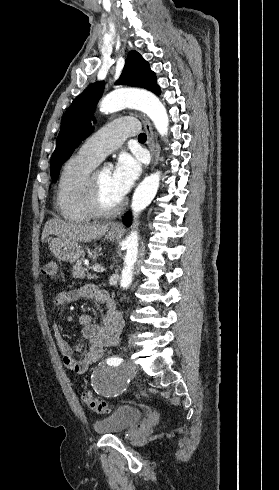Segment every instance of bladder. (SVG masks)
I'll list each match as a JSON object with an SVG mask.
<instances>
[{"mask_svg": "<svg viewBox=\"0 0 279 490\" xmlns=\"http://www.w3.org/2000/svg\"><path fill=\"white\" fill-rule=\"evenodd\" d=\"M143 411L132 405H119L114 413L94 422L93 430L100 435H112L125 432L136 426Z\"/></svg>", "mask_w": 279, "mask_h": 490, "instance_id": "bladder-1", "label": "bladder"}]
</instances>
